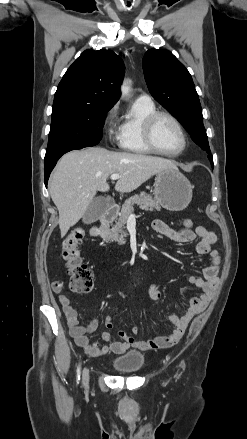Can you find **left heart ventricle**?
I'll use <instances>...</instances> for the list:
<instances>
[{"mask_svg": "<svg viewBox=\"0 0 247 439\" xmlns=\"http://www.w3.org/2000/svg\"><path fill=\"white\" fill-rule=\"evenodd\" d=\"M155 145L162 151H177L182 144V138L177 126L167 117H160L153 129Z\"/></svg>", "mask_w": 247, "mask_h": 439, "instance_id": "1", "label": "left heart ventricle"}]
</instances>
